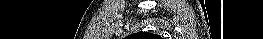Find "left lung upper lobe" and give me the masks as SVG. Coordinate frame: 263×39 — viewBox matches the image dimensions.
I'll return each instance as SVG.
<instances>
[{
	"label": "left lung upper lobe",
	"instance_id": "5c2ea615",
	"mask_svg": "<svg viewBox=\"0 0 263 39\" xmlns=\"http://www.w3.org/2000/svg\"><path fill=\"white\" fill-rule=\"evenodd\" d=\"M127 39H162L159 35L147 32L134 33L126 37Z\"/></svg>",
	"mask_w": 263,
	"mask_h": 39
}]
</instances>
